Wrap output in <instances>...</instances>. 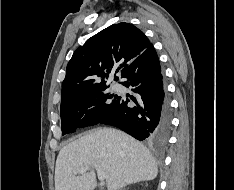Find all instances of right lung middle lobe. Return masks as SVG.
<instances>
[{
  "mask_svg": "<svg viewBox=\"0 0 234 190\" xmlns=\"http://www.w3.org/2000/svg\"><path fill=\"white\" fill-rule=\"evenodd\" d=\"M106 88L86 92L61 103L62 135L75 132L77 128L96 125L112 113L119 96L104 93Z\"/></svg>",
  "mask_w": 234,
  "mask_h": 190,
  "instance_id": "right-lung-middle-lobe-1",
  "label": "right lung middle lobe"
}]
</instances>
